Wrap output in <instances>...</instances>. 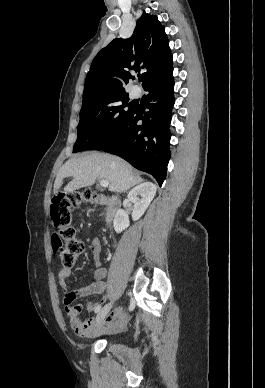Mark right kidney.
Instances as JSON below:
<instances>
[{"instance_id": "obj_1", "label": "right kidney", "mask_w": 265, "mask_h": 388, "mask_svg": "<svg viewBox=\"0 0 265 388\" xmlns=\"http://www.w3.org/2000/svg\"><path fill=\"white\" fill-rule=\"evenodd\" d=\"M156 192L157 188L155 184H152V182L139 184V186H135V188L129 192L128 200L134 204L132 212V220H134V222L139 220V218L143 216L144 212H146ZM128 226H130L128 214H126L124 210H118L113 222L115 232H117V234H121V232L126 230Z\"/></svg>"}]
</instances>
